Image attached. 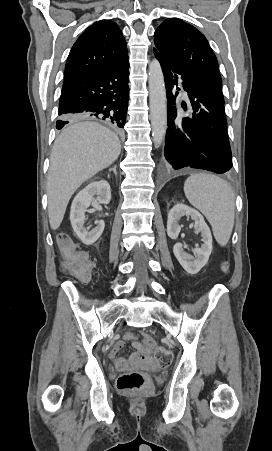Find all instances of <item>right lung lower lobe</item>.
Returning a JSON list of instances; mask_svg holds the SVG:
<instances>
[{"instance_id": "right-lung-lower-lobe-1", "label": "right lung lower lobe", "mask_w": 272, "mask_h": 451, "mask_svg": "<svg viewBox=\"0 0 272 451\" xmlns=\"http://www.w3.org/2000/svg\"><path fill=\"white\" fill-rule=\"evenodd\" d=\"M128 57L107 68L64 81L59 101L61 129L72 120H105L113 128H124L129 100Z\"/></svg>"}]
</instances>
